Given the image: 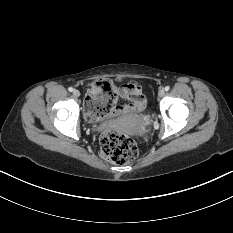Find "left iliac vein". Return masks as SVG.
<instances>
[{
  "label": "left iliac vein",
  "mask_w": 233,
  "mask_h": 233,
  "mask_svg": "<svg viewBox=\"0 0 233 233\" xmlns=\"http://www.w3.org/2000/svg\"><path fill=\"white\" fill-rule=\"evenodd\" d=\"M158 95H159L160 97H163V96L165 95L164 89H160L159 92H158Z\"/></svg>",
  "instance_id": "left-iliac-vein-1"
}]
</instances>
